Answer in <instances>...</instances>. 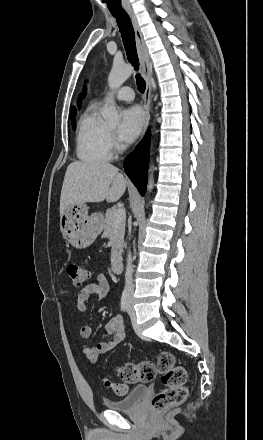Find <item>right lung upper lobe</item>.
Wrapping results in <instances>:
<instances>
[{
  "label": "right lung upper lobe",
  "instance_id": "cb5924a9",
  "mask_svg": "<svg viewBox=\"0 0 263 440\" xmlns=\"http://www.w3.org/2000/svg\"><path fill=\"white\" fill-rule=\"evenodd\" d=\"M83 92H84V96H85V94H86V89H84ZM74 117H75V109L72 108L70 118L72 119V118H74Z\"/></svg>",
  "mask_w": 263,
  "mask_h": 440
}]
</instances>
